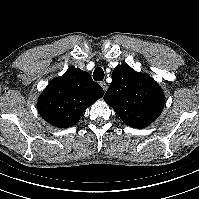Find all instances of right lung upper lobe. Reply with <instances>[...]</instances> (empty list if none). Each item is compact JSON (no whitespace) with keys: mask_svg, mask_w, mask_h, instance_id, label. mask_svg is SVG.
I'll return each instance as SVG.
<instances>
[{"mask_svg":"<svg viewBox=\"0 0 199 199\" xmlns=\"http://www.w3.org/2000/svg\"><path fill=\"white\" fill-rule=\"evenodd\" d=\"M103 93L90 74L79 68H70L48 84L38 99V110L51 125L68 128L79 121L86 108Z\"/></svg>","mask_w":199,"mask_h":199,"instance_id":"cb5924a9","label":"right lung upper lobe"}]
</instances>
